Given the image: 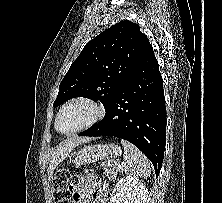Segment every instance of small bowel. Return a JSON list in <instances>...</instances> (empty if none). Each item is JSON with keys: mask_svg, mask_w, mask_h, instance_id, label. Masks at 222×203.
Wrapping results in <instances>:
<instances>
[{"mask_svg": "<svg viewBox=\"0 0 222 203\" xmlns=\"http://www.w3.org/2000/svg\"><path fill=\"white\" fill-rule=\"evenodd\" d=\"M74 203H85L93 198L94 203H107L108 188L95 176H85L73 184Z\"/></svg>", "mask_w": 222, "mask_h": 203, "instance_id": "c3829d8e", "label": "small bowel"}]
</instances>
